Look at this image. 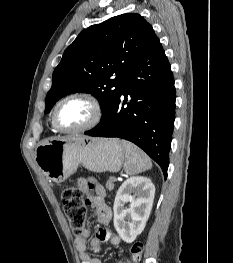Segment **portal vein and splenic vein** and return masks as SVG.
Listing matches in <instances>:
<instances>
[{
    "label": "portal vein and splenic vein",
    "mask_w": 233,
    "mask_h": 263,
    "mask_svg": "<svg viewBox=\"0 0 233 263\" xmlns=\"http://www.w3.org/2000/svg\"><path fill=\"white\" fill-rule=\"evenodd\" d=\"M111 179H112L113 181H115V180H116V178H115V177H111Z\"/></svg>",
    "instance_id": "1"
}]
</instances>
